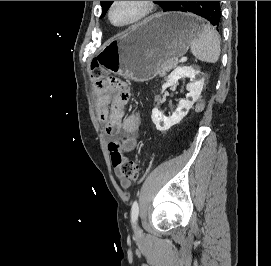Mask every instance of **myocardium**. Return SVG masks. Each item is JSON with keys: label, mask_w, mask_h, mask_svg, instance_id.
I'll list each match as a JSON object with an SVG mask.
<instances>
[{"label": "myocardium", "mask_w": 271, "mask_h": 266, "mask_svg": "<svg viewBox=\"0 0 271 266\" xmlns=\"http://www.w3.org/2000/svg\"><path fill=\"white\" fill-rule=\"evenodd\" d=\"M117 2L118 1L111 2V4L109 5L107 14H108V20L110 21V23L113 26L118 27V28H130L142 23L143 21H145L146 19L150 17V15L153 13L154 8H155L154 1H140L142 5V10L140 14L135 19H133L132 21L128 23L118 24V23H115L112 18L113 8Z\"/></svg>", "instance_id": "1"}]
</instances>
